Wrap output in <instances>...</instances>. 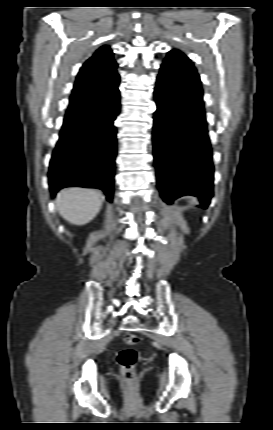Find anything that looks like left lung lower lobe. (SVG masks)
Returning a JSON list of instances; mask_svg holds the SVG:
<instances>
[{
  "label": "left lung lower lobe",
  "instance_id": "0a47b994",
  "mask_svg": "<svg viewBox=\"0 0 273 430\" xmlns=\"http://www.w3.org/2000/svg\"><path fill=\"white\" fill-rule=\"evenodd\" d=\"M178 79L160 73L154 92L153 146L157 184L172 204L183 195L198 196L206 209L213 196L214 166L203 101L181 92Z\"/></svg>",
  "mask_w": 273,
  "mask_h": 430
}]
</instances>
